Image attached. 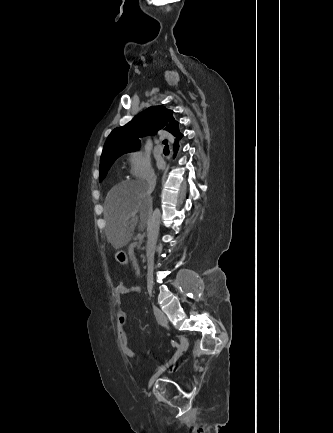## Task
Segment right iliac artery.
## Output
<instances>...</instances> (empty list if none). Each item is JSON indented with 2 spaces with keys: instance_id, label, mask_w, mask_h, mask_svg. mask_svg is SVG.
Returning a JSON list of instances; mask_svg holds the SVG:
<instances>
[{
  "instance_id": "1",
  "label": "right iliac artery",
  "mask_w": 333,
  "mask_h": 433,
  "mask_svg": "<svg viewBox=\"0 0 333 433\" xmlns=\"http://www.w3.org/2000/svg\"><path fill=\"white\" fill-rule=\"evenodd\" d=\"M171 344H172V346H173L174 348L178 346V344H177L174 340H171ZM172 359H173V358H172ZM172 359H171V360H172ZM171 360H169V362H170ZM169 362H166V365H167ZM163 367H164V365H161L158 369H162Z\"/></svg>"
}]
</instances>
